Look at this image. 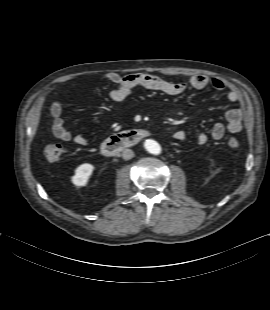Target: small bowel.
I'll use <instances>...</instances> for the list:
<instances>
[{
  "instance_id": "c3829d8e",
  "label": "small bowel",
  "mask_w": 270,
  "mask_h": 310,
  "mask_svg": "<svg viewBox=\"0 0 270 310\" xmlns=\"http://www.w3.org/2000/svg\"><path fill=\"white\" fill-rule=\"evenodd\" d=\"M103 78L115 85L111 91L110 97L114 102L121 103L126 100L135 88H145L156 90L168 95H179L186 91L188 84L185 82H171L159 78L155 75L145 73H131L121 75L115 72L107 73ZM211 85L215 90L222 91L227 88L226 84L220 79H212L205 75H195L189 81V86L194 89L201 90ZM227 99L232 103L240 101V93L236 89H229ZM63 105L56 101L51 106V115L53 117L52 132L54 136L63 142H73L82 147H88L90 142L82 135L72 134L66 127L62 117ZM226 122L215 123L211 129V137L215 140L223 138L226 131L230 133H238L242 130V122L244 113L241 109L232 108L226 112ZM173 137L177 141L186 139V133L182 130L174 132ZM208 141L206 133H200L197 137V142L200 145Z\"/></svg>"
}]
</instances>
